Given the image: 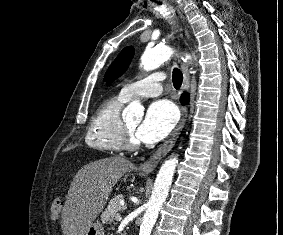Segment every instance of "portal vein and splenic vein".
Instances as JSON below:
<instances>
[{"label": "portal vein and splenic vein", "mask_w": 283, "mask_h": 235, "mask_svg": "<svg viewBox=\"0 0 283 235\" xmlns=\"http://www.w3.org/2000/svg\"><path fill=\"white\" fill-rule=\"evenodd\" d=\"M115 219H116V220L121 219V215H120V214H116Z\"/></svg>", "instance_id": "obj_1"}]
</instances>
